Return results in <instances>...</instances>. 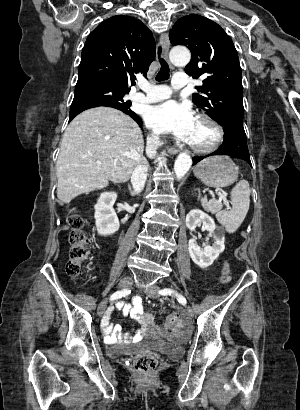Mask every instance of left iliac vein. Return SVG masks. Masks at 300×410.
<instances>
[{"mask_svg":"<svg viewBox=\"0 0 300 410\" xmlns=\"http://www.w3.org/2000/svg\"><path fill=\"white\" fill-rule=\"evenodd\" d=\"M159 290V287L157 285H151L145 289L146 294L151 297V298H156L158 296L157 292ZM185 313L188 317L193 316V310L191 307L187 306L185 308Z\"/></svg>","mask_w":300,"mask_h":410,"instance_id":"obj_1","label":"left iliac vein"}]
</instances>
